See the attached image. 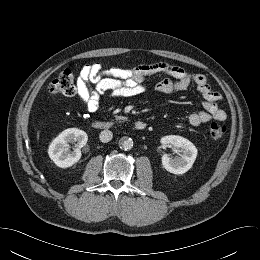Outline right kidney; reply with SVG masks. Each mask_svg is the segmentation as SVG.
<instances>
[{
    "label": "right kidney",
    "mask_w": 260,
    "mask_h": 260,
    "mask_svg": "<svg viewBox=\"0 0 260 260\" xmlns=\"http://www.w3.org/2000/svg\"><path fill=\"white\" fill-rule=\"evenodd\" d=\"M88 136L78 128H69L61 132L50 144L48 154L51 160L60 168H68L81 158V148L86 145ZM69 143L77 146L74 151L68 149Z\"/></svg>",
    "instance_id": "1"
}]
</instances>
